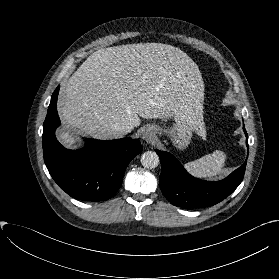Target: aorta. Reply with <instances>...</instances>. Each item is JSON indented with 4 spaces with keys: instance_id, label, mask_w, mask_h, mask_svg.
Masks as SVG:
<instances>
[{
    "instance_id": "aorta-1",
    "label": "aorta",
    "mask_w": 279,
    "mask_h": 279,
    "mask_svg": "<svg viewBox=\"0 0 279 279\" xmlns=\"http://www.w3.org/2000/svg\"><path fill=\"white\" fill-rule=\"evenodd\" d=\"M141 164L148 169H153L159 164V157L156 152L146 151L141 156Z\"/></svg>"
}]
</instances>
